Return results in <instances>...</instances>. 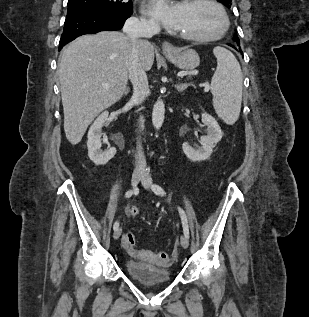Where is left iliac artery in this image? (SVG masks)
<instances>
[{
  "label": "left iliac artery",
  "mask_w": 309,
  "mask_h": 317,
  "mask_svg": "<svg viewBox=\"0 0 309 317\" xmlns=\"http://www.w3.org/2000/svg\"><path fill=\"white\" fill-rule=\"evenodd\" d=\"M152 190L157 195H161V196L166 195L164 189L157 184L152 185ZM178 211L181 217L184 235L189 239V228H188L187 216L181 207H178Z\"/></svg>",
  "instance_id": "44dca946"
}]
</instances>
